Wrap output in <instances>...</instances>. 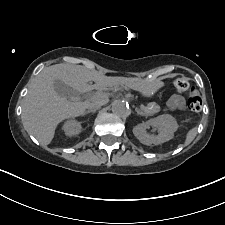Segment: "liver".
<instances>
[{"instance_id":"1","label":"liver","mask_w":225,"mask_h":225,"mask_svg":"<svg viewBox=\"0 0 225 225\" xmlns=\"http://www.w3.org/2000/svg\"><path fill=\"white\" fill-rule=\"evenodd\" d=\"M55 80H61L78 93L94 89V86L88 84L90 81L96 83L95 88L98 90L114 84L113 78L100 75L83 66L56 64L46 67L30 82L22 105L24 128L43 146L51 143L60 122L83 115L88 105L99 96L86 101L74 97L67 99L55 91Z\"/></svg>"}]
</instances>
